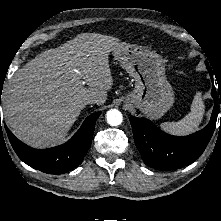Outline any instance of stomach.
Segmentation results:
<instances>
[{"label": "stomach", "instance_id": "obj_1", "mask_svg": "<svg viewBox=\"0 0 221 221\" xmlns=\"http://www.w3.org/2000/svg\"><path fill=\"white\" fill-rule=\"evenodd\" d=\"M112 52L135 80L134 90L124 98V104L140 109L151 119L161 118L174 103V92L166 78L162 57L125 42L115 45Z\"/></svg>", "mask_w": 221, "mask_h": 221}]
</instances>
